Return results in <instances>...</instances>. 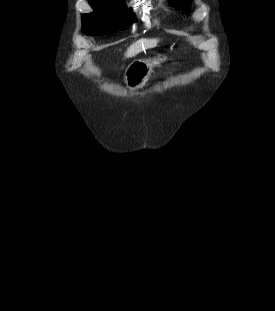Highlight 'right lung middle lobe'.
Listing matches in <instances>:
<instances>
[{
    "instance_id": "right-lung-middle-lobe-1",
    "label": "right lung middle lobe",
    "mask_w": 275,
    "mask_h": 311,
    "mask_svg": "<svg viewBox=\"0 0 275 311\" xmlns=\"http://www.w3.org/2000/svg\"><path fill=\"white\" fill-rule=\"evenodd\" d=\"M91 6L94 12L82 16V28L86 34H112L127 29L136 20L126 4Z\"/></svg>"
}]
</instances>
